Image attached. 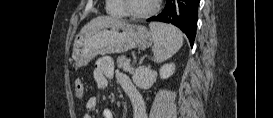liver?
I'll use <instances>...</instances> for the list:
<instances>
[{"mask_svg": "<svg viewBox=\"0 0 273 118\" xmlns=\"http://www.w3.org/2000/svg\"><path fill=\"white\" fill-rule=\"evenodd\" d=\"M117 20L110 18V17H97L93 20H91L89 23H87L80 31V34H83L95 27L98 26H103V25H107L110 24L112 22H115Z\"/></svg>", "mask_w": 273, "mask_h": 118, "instance_id": "1", "label": "liver"}]
</instances>
